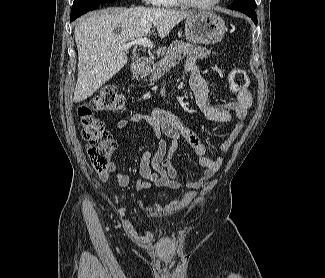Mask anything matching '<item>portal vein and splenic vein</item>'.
Wrapping results in <instances>:
<instances>
[{"label": "portal vein and splenic vein", "mask_w": 325, "mask_h": 278, "mask_svg": "<svg viewBox=\"0 0 325 278\" xmlns=\"http://www.w3.org/2000/svg\"><path fill=\"white\" fill-rule=\"evenodd\" d=\"M133 45H139L150 49L153 48V43L147 37L133 39L131 42L121 45V48L127 50Z\"/></svg>", "instance_id": "obj_1"}]
</instances>
